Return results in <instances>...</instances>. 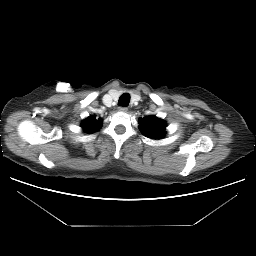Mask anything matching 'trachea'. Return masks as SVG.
Returning <instances> with one entry per match:
<instances>
[{
  "instance_id": "obj_1",
  "label": "trachea",
  "mask_w": 256,
  "mask_h": 256,
  "mask_svg": "<svg viewBox=\"0 0 256 256\" xmlns=\"http://www.w3.org/2000/svg\"><path fill=\"white\" fill-rule=\"evenodd\" d=\"M130 102V95L128 93H124L119 97L118 105L122 107H127Z\"/></svg>"
}]
</instances>
